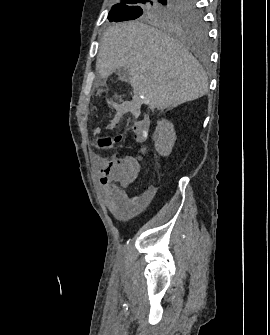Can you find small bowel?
I'll use <instances>...</instances> for the list:
<instances>
[{
	"mask_svg": "<svg viewBox=\"0 0 270 335\" xmlns=\"http://www.w3.org/2000/svg\"><path fill=\"white\" fill-rule=\"evenodd\" d=\"M150 119L143 118L132 128L138 141L148 138ZM136 151H148V144H136ZM145 158H112L111 154H98L93 159V169L100 175V183L106 195V205L114 217L127 220L137 212L139 197L129 196L125 188L130 185L133 178H138V169H144ZM117 181L119 184L115 185Z\"/></svg>",
	"mask_w": 270,
	"mask_h": 335,
	"instance_id": "c3829d8e",
	"label": "small bowel"
}]
</instances>
